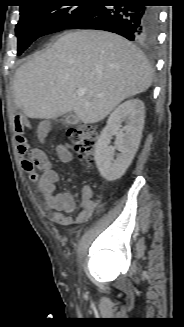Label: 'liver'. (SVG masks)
<instances>
[{
	"instance_id": "1",
	"label": "liver",
	"mask_w": 184,
	"mask_h": 327,
	"mask_svg": "<svg viewBox=\"0 0 184 327\" xmlns=\"http://www.w3.org/2000/svg\"><path fill=\"white\" fill-rule=\"evenodd\" d=\"M152 75L142 51L127 39L105 31L70 32L19 67L15 104L29 118L74 112L85 124L97 123L126 98L146 91ZM80 88L85 95L76 94Z\"/></svg>"
}]
</instances>
